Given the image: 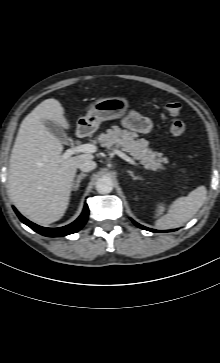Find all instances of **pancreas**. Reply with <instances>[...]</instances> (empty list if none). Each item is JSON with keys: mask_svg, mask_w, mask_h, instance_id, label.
<instances>
[{"mask_svg": "<svg viewBox=\"0 0 220 363\" xmlns=\"http://www.w3.org/2000/svg\"><path fill=\"white\" fill-rule=\"evenodd\" d=\"M138 135L135 132L122 130L115 127L113 130L108 129L106 133L99 135L98 140L102 147L110 148L115 145L116 148L129 153L133 159L139 160L141 164L152 170H163V163H168L160 157V153L148 148L149 142L145 139H136Z\"/></svg>", "mask_w": 220, "mask_h": 363, "instance_id": "obj_1", "label": "pancreas"}]
</instances>
